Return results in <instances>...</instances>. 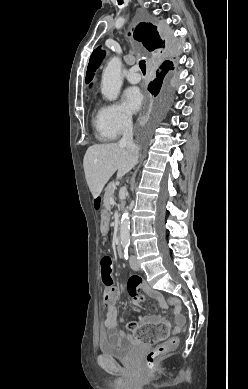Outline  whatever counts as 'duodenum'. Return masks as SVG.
Listing matches in <instances>:
<instances>
[{"instance_id":"410a0bca","label":"duodenum","mask_w":248,"mask_h":389,"mask_svg":"<svg viewBox=\"0 0 248 389\" xmlns=\"http://www.w3.org/2000/svg\"><path fill=\"white\" fill-rule=\"evenodd\" d=\"M116 251H117V254L119 257H123V254H124L123 248H122V245H121L119 238L117 239V242H116Z\"/></svg>"}]
</instances>
